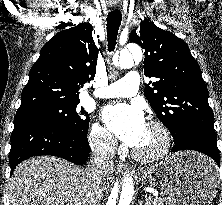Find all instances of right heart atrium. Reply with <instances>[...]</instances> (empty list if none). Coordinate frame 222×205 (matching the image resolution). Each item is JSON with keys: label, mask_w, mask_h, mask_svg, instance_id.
Returning <instances> with one entry per match:
<instances>
[{"label": "right heart atrium", "mask_w": 222, "mask_h": 205, "mask_svg": "<svg viewBox=\"0 0 222 205\" xmlns=\"http://www.w3.org/2000/svg\"><path fill=\"white\" fill-rule=\"evenodd\" d=\"M91 148L103 157H111L116 148V142L110 132L98 123H94L89 133Z\"/></svg>", "instance_id": "1"}]
</instances>
